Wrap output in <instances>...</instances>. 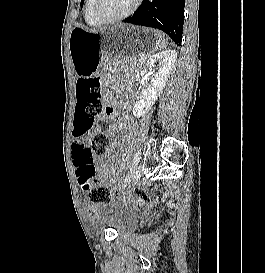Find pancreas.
Here are the masks:
<instances>
[{"label": "pancreas", "instance_id": "obj_1", "mask_svg": "<svg viewBox=\"0 0 265 273\" xmlns=\"http://www.w3.org/2000/svg\"><path fill=\"white\" fill-rule=\"evenodd\" d=\"M128 61H129L130 65H134V64H137V63H143L144 62L142 57L140 59H129Z\"/></svg>", "mask_w": 265, "mask_h": 273}]
</instances>
